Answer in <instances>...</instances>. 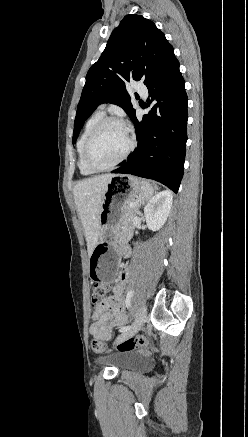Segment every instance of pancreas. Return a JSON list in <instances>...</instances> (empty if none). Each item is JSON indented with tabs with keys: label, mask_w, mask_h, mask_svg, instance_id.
Returning a JSON list of instances; mask_svg holds the SVG:
<instances>
[{
	"label": "pancreas",
	"mask_w": 248,
	"mask_h": 437,
	"mask_svg": "<svg viewBox=\"0 0 248 437\" xmlns=\"http://www.w3.org/2000/svg\"><path fill=\"white\" fill-rule=\"evenodd\" d=\"M131 202H128L123 209L121 224L125 233L132 234L134 230V218L138 213V206L135 203L134 206H130Z\"/></svg>",
	"instance_id": "1"
}]
</instances>
